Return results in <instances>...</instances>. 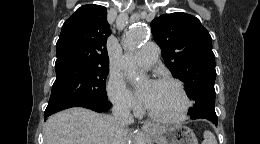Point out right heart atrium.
I'll use <instances>...</instances> for the list:
<instances>
[{"instance_id": "right-heart-atrium-1", "label": "right heart atrium", "mask_w": 260, "mask_h": 144, "mask_svg": "<svg viewBox=\"0 0 260 144\" xmlns=\"http://www.w3.org/2000/svg\"><path fill=\"white\" fill-rule=\"evenodd\" d=\"M110 101L121 110H136L138 102L120 75H111L107 83Z\"/></svg>"}]
</instances>
